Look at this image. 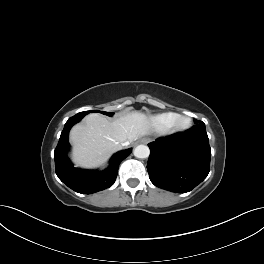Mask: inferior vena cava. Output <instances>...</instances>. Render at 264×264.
<instances>
[{"label":"inferior vena cava","instance_id":"obj_1","mask_svg":"<svg viewBox=\"0 0 264 264\" xmlns=\"http://www.w3.org/2000/svg\"><path fill=\"white\" fill-rule=\"evenodd\" d=\"M129 144H130L129 141H124V142L121 143L122 146H128Z\"/></svg>","mask_w":264,"mask_h":264}]
</instances>
